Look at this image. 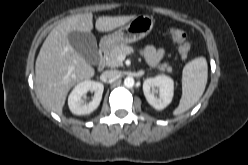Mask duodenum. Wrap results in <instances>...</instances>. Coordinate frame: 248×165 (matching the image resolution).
<instances>
[{
  "mask_svg": "<svg viewBox=\"0 0 248 165\" xmlns=\"http://www.w3.org/2000/svg\"><path fill=\"white\" fill-rule=\"evenodd\" d=\"M108 53V46L103 45L99 50V61L97 65V70L102 71L106 66V55Z\"/></svg>",
  "mask_w": 248,
  "mask_h": 165,
  "instance_id": "duodenum-1",
  "label": "duodenum"
}]
</instances>
